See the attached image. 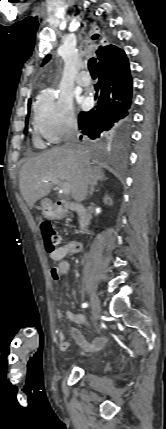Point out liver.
<instances>
[{
	"mask_svg": "<svg viewBox=\"0 0 166 429\" xmlns=\"http://www.w3.org/2000/svg\"><path fill=\"white\" fill-rule=\"evenodd\" d=\"M90 160L87 150L79 156L65 146L28 159L19 174L20 191L27 205L32 208L39 199L50 193L53 181L48 179L69 183L72 198L77 202L84 201L88 186L102 173Z\"/></svg>",
	"mask_w": 166,
	"mask_h": 429,
	"instance_id": "6515ba94",
	"label": "liver"
}]
</instances>
